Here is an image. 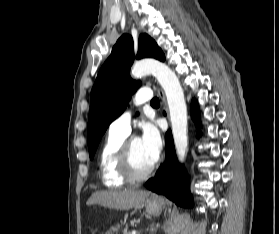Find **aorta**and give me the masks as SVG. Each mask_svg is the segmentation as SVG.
Returning <instances> with one entry per match:
<instances>
[{
    "mask_svg": "<svg viewBox=\"0 0 279 234\" xmlns=\"http://www.w3.org/2000/svg\"><path fill=\"white\" fill-rule=\"evenodd\" d=\"M153 74L165 91L167 98L172 134L178 160L185 161L188 150V118L184 92L176 74L164 63L145 59L134 64L131 75L139 78Z\"/></svg>",
    "mask_w": 279,
    "mask_h": 234,
    "instance_id": "obj_1",
    "label": "aorta"
}]
</instances>
